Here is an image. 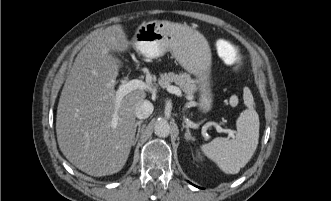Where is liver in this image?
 I'll return each instance as SVG.
<instances>
[{
    "label": "liver",
    "mask_w": 331,
    "mask_h": 201,
    "mask_svg": "<svg viewBox=\"0 0 331 201\" xmlns=\"http://www.w3.org/2000/svg\"><path fill=\"white\" fill-rule=\"evenodd\" d=\"M131 42L122 25L98 32L78 53L61 92L56 134L63 155L91 176L119 172L133 142L135 109L144 90L127 94L116 109L115 80L120 60L110 52H125ZM117 114L116 128L111 126Z\"/></svg>",
    "instance_id": "liver-1"
}]
</instances>
